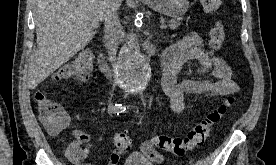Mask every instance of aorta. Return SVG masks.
<instances>
[{"label": "aorta", "instance_id": "aorta-1", "mask_svg": "<svg viewBox=\"0 0 276 165\" xmlns=\"http://www.w3.org/2000/svg\"><path fill=\"white\" fill-rule=\"evenodd\" d=\"M149 65L140 54L136 43L130 39L121 49L118 77L121 85L131 91L140 90L146 83Z\"/></svg>", "mask_w": 276, "mask_h": 165}]
</instances>
